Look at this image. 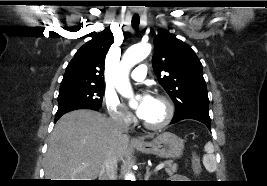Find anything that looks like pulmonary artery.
<instances>
[{
    "mask_svg": "<svg viewBox=\"0 0 267 186\" xmlns=\"http://www.w3.org/2000/svg\"><path fill=\"white\" fill-rule=\"evenodd\" d=\"M146 74L147 66L144 64H140L131 72V78L140 81L146 77Z\"/></svg>",
    "mask_w": 267,
    "mask_h": 186,
    "instance_id": "pulmonary-artery-1",
    "label": "pulmonary artery"
}]
</instances>
